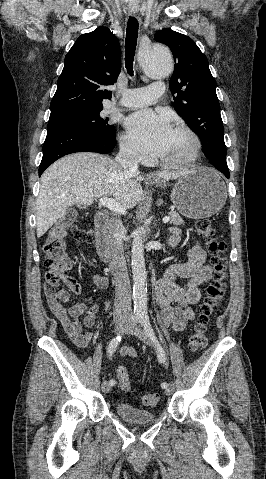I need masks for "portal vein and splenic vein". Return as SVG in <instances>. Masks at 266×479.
Here are the masks:
<instances>
[{
    "instance_id": "portal-vein-and-splenic-vein-1",
    "label": "portal vein and splenic vein",
    "mask_w": 266,
    "mask_h": 479,
    "mask_svg": "<svg viewBox=\"0 0 266 479\" xmlns=\"http://www.w3.org/2000/svg\"><path fill=\"white\" fill-rule=\"evenodd\" d=\"M99 204L118 214L125 215L127 213L126 208L116 202L113 198L102 197L99 199ZM169 220L170 217L166 216L163 218V223H167Z\"/></svg>"
}]
</instances>
